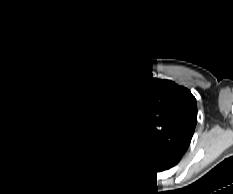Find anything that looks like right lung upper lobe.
<instances>
[{
	"label": "right lung upper lobe",
	"mask_w": 233,
	"mask_h": 194,
	"mask_svg": "<svg viewBox=\"0 0 233 194\" xmlns=\"http://www.w3.org/2000/svg\"><path fill=\"white\" fill-rule=\"evenodd\" d=\"M87 100L82 95L60 99L51 114V129L55 147L74 162H86L94 157L100 142L87 120Z\"/></svg>",
	"instance_id": "right-lung-upper-lobe-1"
}]
</instances>
